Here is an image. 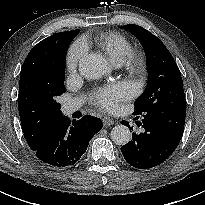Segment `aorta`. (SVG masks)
<instances>
[{"mask_svg":"<svg viewBox=\"0 0 205 205\" xmlns=\"http://www.w3.org/2000/svg\"><path fill=\"white\" fill-rule=\"evenodd\" d=\"M108 66L105 58L97 53L84 55L79 61V72L88 80L98 79L107 72ZM115 144L125 145L131 140V132L125 125H116L110 133Z\"/></svg>","mask_w":205,"mask_h":205,"instance_id":"aorta-1","label":"aorta"}]
</instances>
